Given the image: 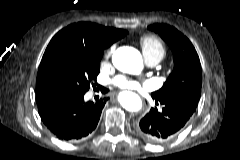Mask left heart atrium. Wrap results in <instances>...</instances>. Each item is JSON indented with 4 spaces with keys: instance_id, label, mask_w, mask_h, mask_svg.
<instances>
[{
    "instance_id": "39dd6f15",
    "label": "left heart atrium",
    "mask_w": 240,
    "mask_h": 160,
    "mask_svg": "<svg viewBox=\"0 0 240 160\" xmlns=\"http://www.w3.org/2000/svg\"><path fill=\"white\" fill-rule=\"evenodd\" d=\"M114 84L122 89H130L134 88L136 85L133 81L123 78V77H118L114 80Z\"/></svg>"
}]
</instances>
